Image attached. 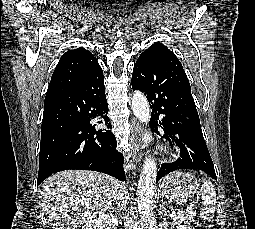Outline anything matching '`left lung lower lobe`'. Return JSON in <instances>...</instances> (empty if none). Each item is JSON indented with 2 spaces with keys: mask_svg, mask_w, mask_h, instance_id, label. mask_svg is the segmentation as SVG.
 I'll return each instance as SVG.
<instances>
[{
  "mask_svg": "<svg viewBox=\"0 0 255 229\" xmlns=\"http://www.w3.org/2000/svg\"><path fill=\"white\" fill-rule=\"evenodd\" d=\"M133 90L147 95L152 109L150 127H158L164 137L180 149V158L163 163L156 182L178 169L202 170L216 179L214 165L206 146L189 80L175 54L163 52L140 56L132 74Z\"/></svg>",
  "mask_w": 255,
  "mask_h": 229,
  "instance_id": "0a47b994",
  "label": "left lung lower lobe"
}]
</instances>
